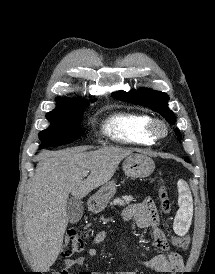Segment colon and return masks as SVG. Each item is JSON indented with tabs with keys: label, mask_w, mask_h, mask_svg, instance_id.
<instances>
[{
	"label": "colon",
	"mask_w": 215,
	"mask_h": 274,
	"mask_svg": "<svg viewBox=\"0 0 215 274\" xmlns=\"http://www.w3.org/2000/svg\"><path fill=\"white\" fill-rule=\"evenodd\" d=\"M159 200L161 203V209L165 214H168L171 211V201L169 198L168 191L164 185H161L159 188ZM173 243L177 247L186 248L189 244V240L185 236H175L173 237ZM84 241L78 235V233L71 229L68 230L65 236V241L61 249V254L64 257H70L75 253L80 252L83 249ZM62 271L57 274H61Z\"/></svg>",
	"instance_id": "1"
}]
</instances>
